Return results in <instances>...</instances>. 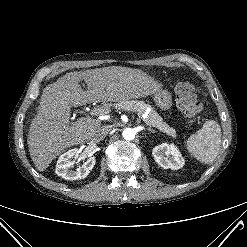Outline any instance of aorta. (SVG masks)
<instances>
[{
  "mask_svg": "<svg viewBox=\"0 0 247 247\" xmlns=\"http://www.w3.org/2000/svg\"><path fill=\"white\" fill-rule=\"evenodd\" d=\"M123 138L126 140H133L135 138V131L132 128H125L122 132Z\"/></svg>",
  "mask_w": 247,
  "mask_h": 247,
  "instance_id": "aorta-1",
  "label": "aorta"
}]
</instances>
